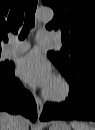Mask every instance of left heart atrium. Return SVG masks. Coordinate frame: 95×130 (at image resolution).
Returning a JSON list of instances; mask_svg holds the SVG:
<instances>
[{
    "instance_id": "1",
    "label": "left heart atrium",
    "mask_w": 95,
    "mask_h": 130,
    "mask_svg": "<svg viewBox=\"0 0 95 130\" xmlns=\"http://www.w3.org/2000/svg\"><path fill=\"white\" fill-rule=\"evenodd\" d=\"M17 73L30 85L47 87L52 81L50 64L37 51H32L20 59Z\"/></svg>"
}]
</instances>
